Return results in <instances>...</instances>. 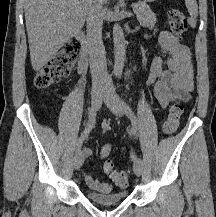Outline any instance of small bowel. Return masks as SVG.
<instances>
[{
  "label": "small bowel",
  "mask_w": 216,
  "mask_h": 217,
  "mask_svg": "<svg viewBox=\"0 0 216 217\" xmlns=\"http://www.w3.org/2000/svg\"><path fill=\"white\" fill-rule=\"evenodd\" d=\"M158 41L161 53L152 61L147 84L154 87V95L160 107L166 110L173 101L190 100L194 90V70L188 46L179 42L168 31L161 32ZM111 149L110 143L102 146L99 157L104 163L109 160ZM83 153L92 156L89 148H84ZM104 171L109 175L105 169ZM85 181L89 187L101 192H107L111 188L110 182H100L90 174L85 175Z\"/></svg>",
  "instance_id": "obj_1"
}]
</instances>
